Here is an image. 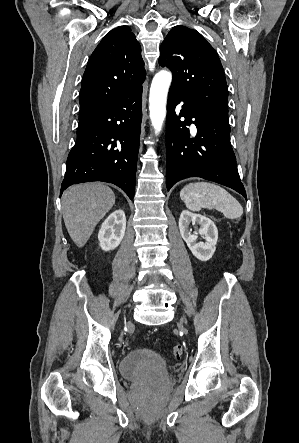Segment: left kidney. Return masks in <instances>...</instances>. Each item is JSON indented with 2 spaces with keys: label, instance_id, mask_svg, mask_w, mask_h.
<instances>
[{
  "label": "left kidney",
  "instance_id": "left-kidney-1",
  "mask_svg": "<svg viewBox=\"0 0 299 443\" xmlns=\"http://www.w3.org/2000/svg\"><path fill=\"white\" fill-rule=\"evenodd\" d=\"M190 223L200 225L198 233L191 234L189 231ZM179 229L182 238L197 259L208 261L213 256L218 240V230L212 220L184 210L179 218ZM198 234L204 235L205 242H197Z\"/></svg>",
  "mask_w": 299,
  "mask_h": 443
}]
</instances>
